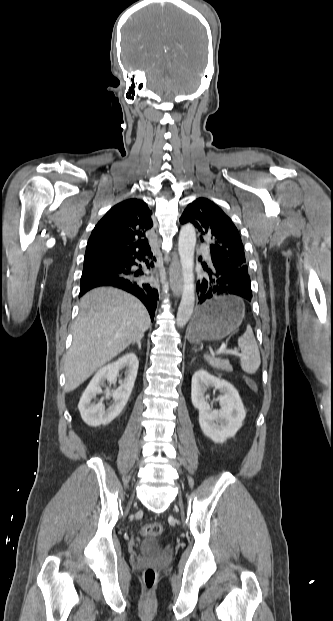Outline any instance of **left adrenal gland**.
<instances>
[{
    "label": "left adrenal gland",
    "instance_id": "a2214340",
    "mask_svg": "<svg viewBox=\"0 0 333 621\" xmlns=\"http://www.w3.org/2000/svg\"><path fill=\"white\" fill-rule=\"evenodd\" d=\"M195 360V358L192 359L191 363Z\"/></svg>",
    "mask_w": 333,
    "mask_h": 621
}]
</instances>
